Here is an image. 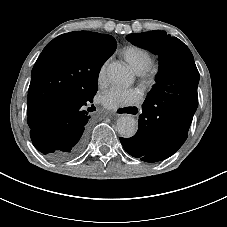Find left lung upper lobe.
Returning <instances> with one entry per match:
<instances>
[{"instance_id": "5c2ea615", "label": "left lung upper lobe", "mask_w": 227, "mask_h": 227, "mask_svg": "<svg viewBox=\"0 0 227 227\" xmlns=\"http://www.w3.org/2000/svg\"><path fill=\"white\" fill-rule=\"evenodd\" d=\"M127 40L159 56L160 71L156 77V84L146 99L152 97L163 85L172 84L170 78L177 76L176 73L183 71L188 65L195 66L189 48L178 38L170 37L164 31L129 34Z\"/></svg>"}]
</instances>
